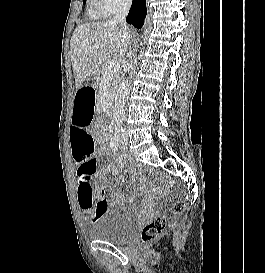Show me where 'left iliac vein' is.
Wrapping results in <instances>:
<instances>
[{
	"label": "left iliac vein",
	"instance_id": "obj_1",
	"mask_svg": "<svg viewBox=\"0 0 265 273\" xmlns=\"http://www.w3.org/2000/svg\"><path fill=\"white\" fill-rule=\"evenodd\" d=\"M120 142L122 145H126L128 143V135L126 134V132H124L123 136L121 137Z\"/></svg>",
	"mask_w": 265,
	"mask_h": 273
}]
</instances>
